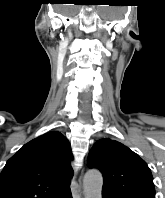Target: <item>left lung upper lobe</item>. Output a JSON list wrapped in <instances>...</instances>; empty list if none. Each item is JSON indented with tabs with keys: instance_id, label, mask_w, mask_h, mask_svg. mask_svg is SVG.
Masks as SVG:
<instances>
[{
	"instance_id": "left-lung-upper-lobe-1",
	"label": "left lung upper lobe",
	"mask_w": 165,
	"mask_h": 198,
	"mask_svg": "<svg viewBox=\"0 0 165 198\" xmlns=\"http://www.w3.org/2000/svg\"><path fill=\"white\" fill-rule=\"evenodd\" d=\"M88 166L99 169L104 177L103 188L120 198H155L148 165L118 141L108 138L97 141L89 152Z\"/></svg>"
}]
</instances>
